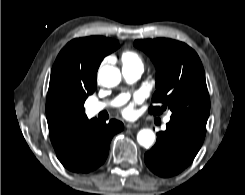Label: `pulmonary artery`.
I'll use <instances>...</instances> for the list:
<instances>
[{
  "instance_id": "1",
  "label": "pulmonary artery",
  "mask_w": 245,
  "mask_h": 195,
  "mask_svg": "<svg viewBox=\"0 0 245 195\" xmlns=\"http://www.w3.org/2000/svg\"><path fill=\"white\" fill-rule=\"evenodd\" d=\"M142 72H143V66L140 65H124L122 67L123 77L128 83H133L136 80H138ZM126 98H127L126 95H121L112 101L93 102L89 105L88 109L89 112L94 115L105 110L107 107L118 106L122 104L126 100ZM169 120L170 117L167 116L164 121L165 123H167L169 122Z\"/></svg>"
}]
</instances>
